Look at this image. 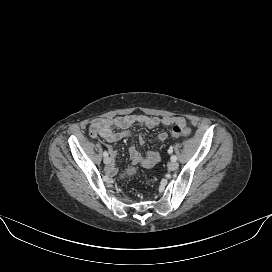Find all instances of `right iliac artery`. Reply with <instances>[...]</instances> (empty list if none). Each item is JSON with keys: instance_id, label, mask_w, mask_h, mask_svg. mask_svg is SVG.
Listing matches in <instances>:
<instances>
[{"instance_id": "obj_1", "label": "right iliac artery", "mask_w": 272, "mask_h": 272, "mask_svg": "<svg viewBox=\"0 0 272 272\" xmlns=\"http://www.w3.org/2000/svg\"><path fill=\"white\" fill-rule=\"evenodd\" d=\"M103 156H104V157H108L107 151H104V152H103Z\"/></svg>"}]
</instances>
